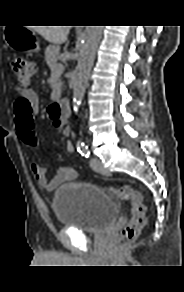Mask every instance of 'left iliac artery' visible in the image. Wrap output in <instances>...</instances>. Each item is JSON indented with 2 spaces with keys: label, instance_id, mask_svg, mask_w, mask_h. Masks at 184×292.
Masks as SVG:
<instances>
[{
  "label": "left iliac artery",
  "instance_id": "left-iliac-artery-1",
  "mask_svg": "<svg viewBox=\"0 0 184 292\" xmlns=\"http://www.w3.org/2000/svg\"><path fill=\"white\" fill-rule=\"evenodd\" d=\"M78 152L84 156L85 158H89L90 156V151H89V148L88 146L86 145H81L79 148H78Z\"/></svg>",
  "mask_w": 184,
  "mask_h": 292
}]
</instances>
